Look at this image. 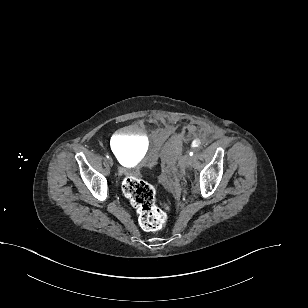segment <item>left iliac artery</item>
<instances>
[{
  "label": "left iliac artery",
  "instance_id": "obj_1",
  "mask_svg": "<svg viewBox=\"0 0 308 308\" xmlns=\"http://www.w3.org/2000/svg\"><path fill=\"white\" fill-rule=\"evenodd\" d=\"M192 155H194V151H191V152H190V156H192Z\"/></svg>",
  "mask_w": 308,
  "mask_h": 308
}]
</instances>
